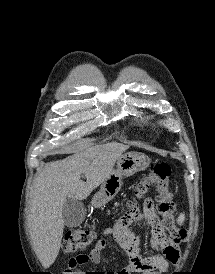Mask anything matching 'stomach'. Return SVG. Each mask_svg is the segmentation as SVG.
Masks as SVG:
<instances>
[{
  "mask_svg": "<svg viewBox=\"0 0 215 274\" xmlns=\"http://www.w3.org/2000/svg\"><path fill=\"white\" fill-rule=\"evenodd\" d=\"M149 158L138 152H128L117 160V167L111 175L101 184L100 190L94 195L92 205L95 208L106 205L120 191L123 177L132 176L149 166Z\"/></svg>",
  "mask_w": 215,
  "mask_h": 274,
  "instance_id": "1",
  "label": "stomach"
}]
</instances>
